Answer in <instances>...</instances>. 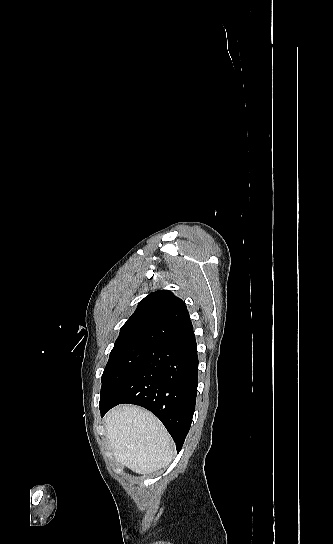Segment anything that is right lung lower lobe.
<instances>
[{
    "instance_id": "98d812e1",
    "label": "right lung lower lobe",
    "mask_w": 333,
    "mask_h": 544,
    "mask_svg": "<svg viewBox=\"0 0 333 544\" xmlns=\"http://www.w3.org/2000/svg\"><path fill=\"white\" fill-rule=\"evenodd\" d=\"M198 355L193 330L159 342L129 380L100 407L130 403L155 414L176 443L177 452L189 432L195 410Z\"/></svg>"
}]
</instances>
